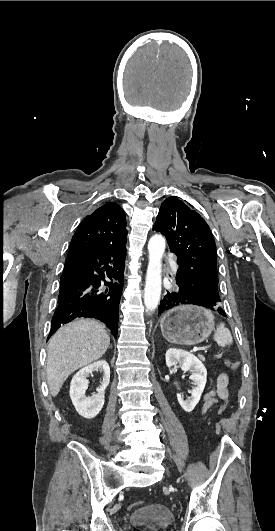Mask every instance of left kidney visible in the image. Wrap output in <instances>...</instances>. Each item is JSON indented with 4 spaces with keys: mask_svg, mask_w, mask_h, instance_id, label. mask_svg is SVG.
Segmentation results:
<instances>
[{
    "mask_svg": "<svg viewBox=\"0 0 275 531\" xmlns=\"http://www.w3.org/2000/svg\"><path fill=\"white\" fill-rule=\"evenodd\" d=\"M165 359L167 367H173V365H178V363H180L182 371H190V373H192L189 379L194 381L193 385H196V387H193L191 397H189L187 401H184L181 395H177L178 403L181 405L182 409H184L186 413H191V411L195 409L197 403H199L200 397L205 389L207 371L203 363H201L195 355H191V353H187V351H182V349H168V351H166Z\"/></svg>",
    "mask_w": 275,
    "mask_h": 531,
    "instance_id": "left-kidney-1",
    "label": "left kidney"
}]
</instances>
